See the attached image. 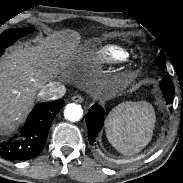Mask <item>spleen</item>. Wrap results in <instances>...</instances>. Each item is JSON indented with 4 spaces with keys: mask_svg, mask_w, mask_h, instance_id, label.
<instances>
[{
    "mask_svg": "<svg viewBox=\"0 0 183 183\" xmlns=\"http://www.w3.org/2000/svg\"><path fill=\"white\" fill-rule=\"evenodd\" d=\"M154 125L155 114L149 103H123L109 113L106 135L120 153L130 155L150 142Z\"/></svg>",
    "mask_w": 183,
    "mask_h": 183,
    "instance_id": "1",
    "label": "spleen"
}]
</instances>
